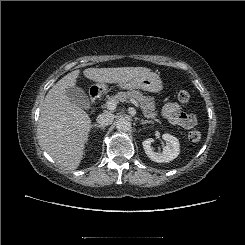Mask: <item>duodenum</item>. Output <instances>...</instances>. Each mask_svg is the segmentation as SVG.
Listing matches in <instances>:
<instances>
[{
    "label": "duodenum",
    "mask_w": 245,
    "mask_h": 245,
    "mask_svg": "<svg viewBox=\"0 0 245 245\" xmlns=\"http://www.w3.org/2000/svg\"><path fill=\"white\" fill-rule=\"evenodd\" d=\"M97 102H98V96H97L96 93H93L91 95L92 112H96V110H97Z\"/></svg>",
    "instance_id": "410a0bca"
}]
</instances>
